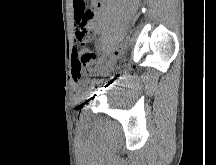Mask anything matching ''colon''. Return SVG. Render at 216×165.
<instances>
[{
	"instance_id": "colon-1",
	"label": "colon",
	"mask_w": 216,
	"mask_h": 165,
	"mask_svg": "<svg viewBox=\"0 0 216 165\" xmlns=\"http://www.w3.org/2000/svg\"><path fill=\"white\" fill-rule=\"evenodd\" d=\"M92 17V13H84V21L89 20ZM91 32L86 29L84 25L76 32V38L81 43L79 47L75 49L73 59V70L76 78L80 76L82 68L89 67L92 70L98 69L99 60L94 52L85 46V41L91 37Z\"/></svg>"
}]
</instances>
